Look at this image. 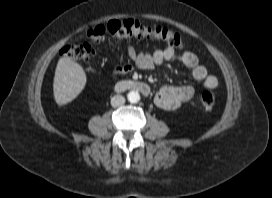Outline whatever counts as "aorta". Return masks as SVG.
<instances>
[{
    "instance_id": "aorta-1",
    "label": "aorta",
    "mask_w": 272,
    "mask_h": 198,
    "mask_svg": "<svg viewBox=\"0 0 272 198\" xmlns=\"http://www.w3.org/2000/svg\"><path fill=\"white\" fill-rule=\"evenodd\" d=\"M127 99L130 103H137L140 100V94L137 91H130L127 94Z\"/></svg>"
}]
</instances>
